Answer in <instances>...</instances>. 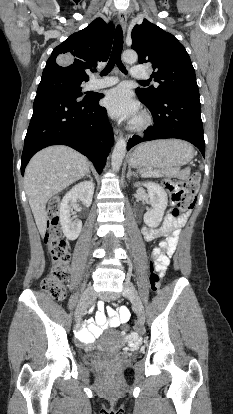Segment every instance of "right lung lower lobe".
<instances>
[{"instance_id": "1", "label": "right lung lower lobe", "mask_w": 233, "mask_h": 414, "mask_svg": "<svg viewBox=\"0 0 233 414\" xmlns=\"http://www.w3.org/2000/svg\"><path fill=\"white\" fill-rule=\"evenodd\" d=\"M102 97L94 94L81 100L52 93L37 94L21 158L22 175L37 151L56 144L81 152L101 173L114 143L106 109L99 105Z\"/></svg>"}]
</instances>
